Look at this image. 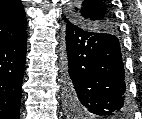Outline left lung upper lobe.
<instances>
[{
	"label": "left lung upper lobe",
	"mask_w": 142,
	"mask_h": 119,
	"mask_svg": "<svg viewBox=\"0 0 142 119\" xmlns=\"http://www.w3.org/2000/svg\"><path fill=\"white\" fill-rule=\"evenodd\" d=\"M68 18L90 31L115 33L114 16L101 0H81L70 9Z\"/></svg>",
	"instance_id": "5c2ea615"
}]
</instances>
